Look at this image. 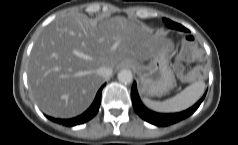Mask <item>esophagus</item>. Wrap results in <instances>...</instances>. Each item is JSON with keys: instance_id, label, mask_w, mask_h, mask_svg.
Returning a JSON list of instances; mask_svg holds the SVG:
<instances>
[{"instance_id": "34e87169", "label": "esophagus", "mask_w": 238, "mask_h": 145, "mask_svg": "<svg viewBox=\"0 0 238 145\" xmlns=\"http://www.w3.org/2000/svg\"><path fill=\"white\" fill-rule=\"evenodd\" d=\"M125 66H126L127 68H131V67H132L131 63H129V62L125 63Z\"/></svg>"}]
</instances>
